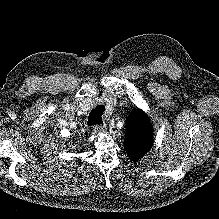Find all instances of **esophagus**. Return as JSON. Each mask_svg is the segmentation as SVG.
Wrapping results in <instances>:
<instances>
[{"label": "esophagus", "mask_w": 219, "mask_h": 219, "mask_svg": "<svg viewBox=\"0 0 219 219\" xmlns=\"http://www.w3.org/2000/svg\"><path fill=\"white\" fill-rule=\"evenodd\" d=\"M95 132H104L106 130V125L102 124V125H96L93 129Z\"/></svg>", "instance_id": "1"}]
</instances>
